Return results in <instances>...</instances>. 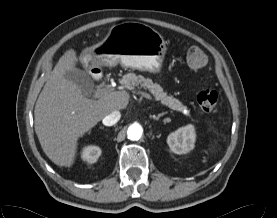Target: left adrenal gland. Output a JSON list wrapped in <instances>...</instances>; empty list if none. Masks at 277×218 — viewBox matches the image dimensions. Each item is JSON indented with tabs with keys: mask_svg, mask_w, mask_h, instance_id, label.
Returning <instances> with one entry per match:
<instances>
[{
	"mask_svg": "<svg viewBox=\"0 0 277 218\" xmlns=\"http://www.w3.org/2000/svg\"><path fill=\"white\" fill-rule=\"evenodd\" d=\"M166 112L160 113L157 116H153L154 120L158 121L160 119L161 116L165 115ZM164 122H167V119L164 120Z\"/></svg>",
	"mask_w": 277,
	"mask_h": 218,
	"instance_id": "1",
	"label": "left adrenal gland"
}]
</instances>
